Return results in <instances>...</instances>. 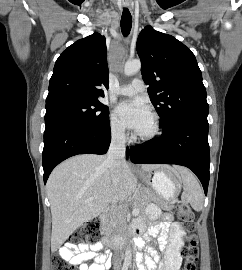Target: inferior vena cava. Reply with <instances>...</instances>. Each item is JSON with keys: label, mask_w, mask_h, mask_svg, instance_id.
<instances>
[{"label": "inferior vena cava", "mask_w": 242, "mask_h": 270, "mask_svg": "<svg viewBox=\"0 0 242 270\" xmlns=\"http://www.w3.org/2000/svg\"><path fill=\"white\" fill-rule=\"evenodd\" d=\"M125 143L124 129H120L112 134V140L105 160V165L109 168L111 177L114 181H117L120 176V168L125 158ZM118 213L117 201H114L112 203L110 215L111 221L118 218Z\"/></svg>", "instance_id": "1"}]
</instances>
